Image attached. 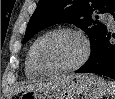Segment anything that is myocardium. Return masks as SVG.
I'll use <instances>...</instances> for the list:
<instances>
[{"mask_svg": "<svg viewBox=\"0 0 115 99\" xmlns=\"http://www.w3.org/2000/svg\"><path fill=\"white\" fill-rule=\"evenodd\" d=\"M60 33H69V34H72L78 37L83 45L82 55L72 65L61 67V68H56V69L45 68L44 66L41 65L38 59V54H37L38 46L44 39L48 38L49 36L60 34ZM90 54H91V45H90L88 38L80 30L70 28V27H60V28L52 29L44 33L34 42V44L31 47V57H32L33 65L36 68V70L40 72L42 75H57V74L77 70L87 62V60L90 57Z\"/></svg>", "mask_w": 115, "mask_h": 99, "instance_id": "myocardium-1", "label": "myocardium"}]
</instances>
